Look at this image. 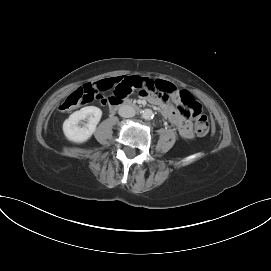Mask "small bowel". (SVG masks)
I'll list each match as a JSON object with an SVG mask.
<instances>
[{
    "label": "small bowel",
    "instance_id": "small-bowel-1",
    "mask_svg": "<svg viewBox=\"0 0 271 271\" xmlns=\"http://www.w3.org/2000/svg\"><path fill=\"white\" fill-rule=\"evenodd\" d=\"M84 86L94 89L97 92V98L101 100H103V97L99 92L113 88L114 102H125L132 91H138L139 98H145L151 105H158L163 109L167 118L177 127L183 138L190 139L193 137L191 123L171 104V99L175 103H179V92L175 85L169 81L157 79L156 76H117ZM159 86L166 89H159Z\"/></svg>",
    "mask_w": 271,
    "mask_h": 271
}]
</instances>
